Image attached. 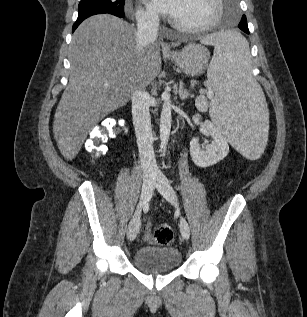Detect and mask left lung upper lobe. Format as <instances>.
<instances>
[{
	"label": "left lung upper lobe",
	"mask_w": 307,
	"mask_h": 317,
	"mask_svg": "<svg viewBox=\"0 0 307 317\" xmlns=\"http://www.w3.org/2000/svg\"><path fill=\"white\" fill-rule=\"evenodd\" d=\"M243 19H244V20H247V19H246V17H245L244 15L242 16V19H241V21H242Z\"/></svg>",
	"instance_id": "5c2ea615"
}]
</instances>
